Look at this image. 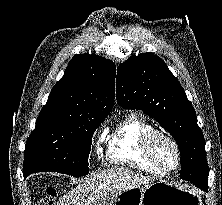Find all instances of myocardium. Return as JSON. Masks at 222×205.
<instances>
[{"label": "myocardium", "instance_id": "f54148a6", "mask_svg": "<svg viewBox=\"0 0 222 205\" xmlns=\"http://www.w3.org/2000/svg\"><path fill=\"white\" fill-rule=\"evenodd\" d=\"M157 138H163L173 145L176 152V161L172 167L163 166L156 158L154 154V150H153V143L155 139ZM143 148L149 162L163 173H169L171 171H174L180 165V162H181L180 146L178 142L176 141V139L165 131L158 130V129H152L151 131H149L143 139Z\"/></svg>", "mask_w": 222, "mask_h": 205}]
</instances>
